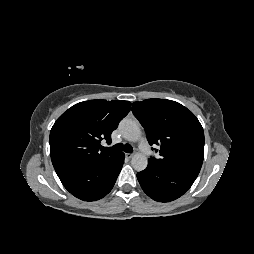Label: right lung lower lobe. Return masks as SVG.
Listing matches in <instances>:
<instances>
[{"mask_svg":"<svg viewBox=\"0 0 254 254\" xmlns=\"http://www.w3.org/2000/svg\"><path fill=\"white\" fill-rule=\"evenodd\" d=\"M124 158L123 153H118L103 161L64 164L55 168V171L72 195L84 201H95L111 191Z\"/></svg>","mask_w":254,"mask_h":254,"instance_id":"98d812e1","label":"right lung lower lobe"}]
</instances>
